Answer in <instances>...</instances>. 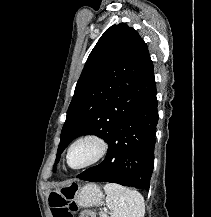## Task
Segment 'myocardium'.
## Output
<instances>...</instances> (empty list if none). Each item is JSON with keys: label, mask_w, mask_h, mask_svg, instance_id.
Returning <instances> with one entry per match:
<instances>
[{"label": "myocardium", "mask_w": 211, "mask_h": 217, "mask_svg": "<svg viewBox=\"0 0 211 217\" xmlns=\"http://www.w3.org/2000/svg\"><path fill=\"white\" fill-rule=\"evenodd\" d=\"M83 141H92V142L96 143L98 146V151H97L96 155L87 163H85L81 166H78V167H73L69 161L70 152L76 144L83 142ZM108 151H109V143L105 139V137H103L102 135H100L98 133H93V132L92 133H85L83 135H80L76 139H74L71 142V144L69 145L67 152H66V156H65L66 163L73 170L86 169V168H89V167L99 163L101 160H103L106 157Z\"/></svg>", "instance_id": "myocardium-1"}]
</instances>
